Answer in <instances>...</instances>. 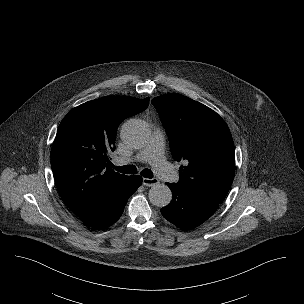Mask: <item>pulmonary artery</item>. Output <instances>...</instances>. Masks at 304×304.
<instances>
[{
	"instance_id": "pulmonary-artery-1",
	"label": "pulmonary artery",
	"mask_w": 304,
	"mask_h": 304,
	"mask_svg": "<svg viewBox=\"0 0 304 304\" xmlns=\"http://www.w3.org/2000/svg\"><path fill=\"white\" fill-rule=\"evenodd\" d=\"M164 133L161 130H155L149 139L147 145L131 159H119L118 163L126 161H139L150 163L157 175L167 182H177L179 180L178 173L165 160L164 155Z\"/></svg>"
}]
</instances>
